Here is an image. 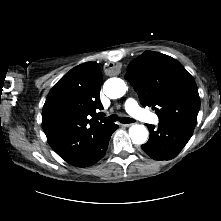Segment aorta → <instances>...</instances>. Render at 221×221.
Here are the masks:
<instances>
[{
	"label": "aorta",
	"mask_w": 221,
	"mask_h": 221,
	"mask_svg": "<svg viewBox=\"0 0 221 221\" xmlns=\"http://www.w3.org/2000/svg\"><path fill=\"white\" fill-rule=\"evenodd\" d=\"M104 93L111 99L124 96L127 90L125 82L120 78H110L103 86ZM129 136L134 144H143L148 139V130L144 125H132L129 129Z\"/></svg>",
	"instance_id": "762f6f07"
}]
</instances>
